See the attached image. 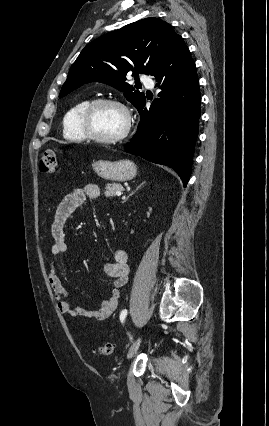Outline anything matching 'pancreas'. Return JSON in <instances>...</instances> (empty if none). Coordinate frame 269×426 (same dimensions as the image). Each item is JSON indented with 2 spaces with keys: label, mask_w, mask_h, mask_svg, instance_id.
Wrapping results in <instances>:
<instances>
[{
  "label": "pancreas",
  "mask_w": 269,
  "mask_h": 426,
  "mask_svg": "<svg viewBox=\"0 0 269 426\" xmlns=\"http://www.w3.org/2000/svg\"><path fill=\"white\" fill-rule=\"evenodd\" d=\"M123 187L121 184H115V183H108L105 187V196L106 197H114L116 196L117 191H122Z\"/></svg>",
  "instance_id": "obj_1"
}]
</instances>
